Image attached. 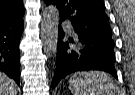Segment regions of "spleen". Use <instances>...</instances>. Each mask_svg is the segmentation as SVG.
Returning <instances> with one entry per match:
<instances>
[{"label":"spleen","mask_w":135,"mask_h":95,"mask_svg":"<svg viewBox=\"0 0 135 95\" xmlns=\"http://www.w3.org/2000/svg\"><path fill=\"white\" fill-rule=\"evenodd\" d=\"M73 95H119L118 87L105 72L75 73L69 80Z\"/></svg>","instance_id":"1"}]
</instances>
